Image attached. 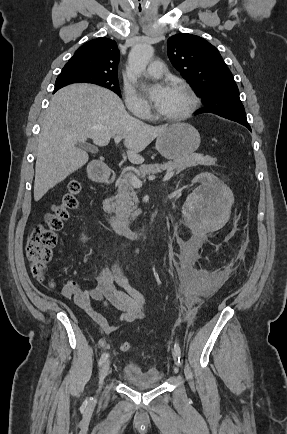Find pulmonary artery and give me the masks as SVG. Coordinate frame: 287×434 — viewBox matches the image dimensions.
<instances>
[{"instance_id":"obj_1","label":"pulmonary artery","mask_w":287,"mask_h":434,"mask_svg":"<svg viewBox=\"0 0 287 434\" xmlns=\"http://www.w3.org/2000/svg\"><path fill=\"white\" fill-rule=\"evenodd\" d=\"M165 69L162 61L156 60L149 64L145 71V75L151 78H160L164 75Z\"/></svg>"}]
</instances>
